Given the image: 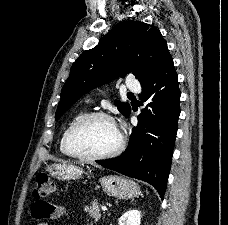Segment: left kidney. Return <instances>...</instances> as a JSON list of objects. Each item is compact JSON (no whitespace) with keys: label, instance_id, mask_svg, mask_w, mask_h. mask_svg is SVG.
<instances>
[{"label":"left kidney","instance_id":"5707ae66","mask_svg":"<svg viewBox=\"0 0 228 225\" xmlns=\"http://www.w3.org/2000/svg\"><path fill=\"white\" fill-rule=\"evenodd\" d=\"M118 225H141L140 211H127L118 221Z\"/></svg>","mask_w":228,"mask_h":225}]
</instances>
